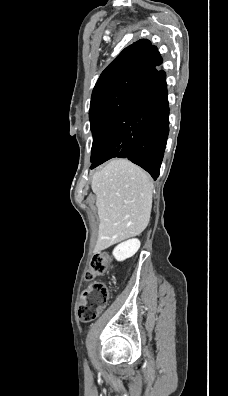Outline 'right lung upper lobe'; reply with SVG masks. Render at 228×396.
Here are the masks:
<instances>
[{
	"label": "right lung upper lobe",
	"instance_id": "cb5924a9",
	"mask_svg": "<svg viewBox=\"0 0 228 396\" xmlns=\"http://www.w3.org/2000/svg\"><path fill=\"white\" fill-rule=\"evenodd\" d=\"M156 52L157 48L146 39H141L126 47L101 73L95 87L107 80L145 70L144 61Z\"/></svg>",
	"mask_w": 228,
	"mask_h": 396
}]
</instances>
